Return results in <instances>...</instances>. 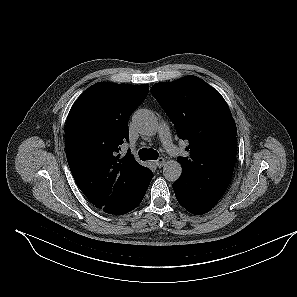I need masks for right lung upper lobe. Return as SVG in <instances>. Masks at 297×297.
Wrapping results in <instances>:
<instances>
[{
  "instance_id": "cb5924a9",
  "label": "right lung upper lobe",
  "mask_w": 297,
  "mask_h": 297,
  "mask_svg": "<svg viewBox=\"0 0 297 297\" xmlns=\"http://www.w3.org/2000/svg\"><path fill=\"white\" fill-rule=\"evenodd\" d=\"M149 85L99 82L73 104L67 117L65 148L76 184L88 200L104 212L124 208L150 178L131 151L120 157L129 139L128 120L144 101Z\"/></svg>"
}]
</instances>
